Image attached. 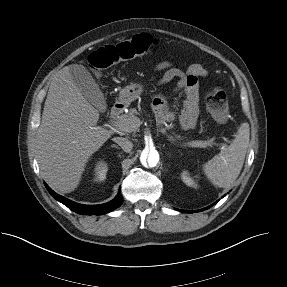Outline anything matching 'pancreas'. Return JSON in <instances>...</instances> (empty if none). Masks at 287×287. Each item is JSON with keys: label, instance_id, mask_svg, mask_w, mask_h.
<instances>
[{"label": "pancreas", "instance_id": "1", "mask_svg": "<svg viewBox=\"0 0 287 287\" xmlns=\"http://www.w3.org/2000/svg\"><path fill=\"white\" fill-rule=\"evenodd\" d=\"M137 115H139V112L135 108L130 109L127 114L122 115L119 119L120 130L124 133H135L139 131L141 122L138 119ZM171 128L172 126L168 127V129ZM175 138H177L178 140H182V137L179 135H175V137L171 135L168 136V140L172 142L176 141ZM204 144L206 146H211L213 145V142L204 141Z\"/></svg>", "mask_w": 287, "mask_h": 287}]
</instances>
